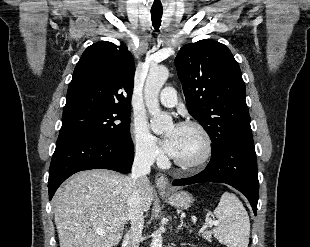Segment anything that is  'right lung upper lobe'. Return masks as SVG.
<instances>
[{
  "instance_id": "1",
  "label": "right lung upper lobe",
  "mask_w": 310,
  "mask_h": 247,
  "mask_svg": "<svg viewBox=\"0 0 310 247\" xmlns=\"http://www.w3.org/2000/svg\"><path fill=\"white\" fill-rule=\"evenodd\" d=\"M97 42L82 54L69 84L63 110L90 106L130 109L134 60L127 47Z\"/></svg>"
}]
</instances>
